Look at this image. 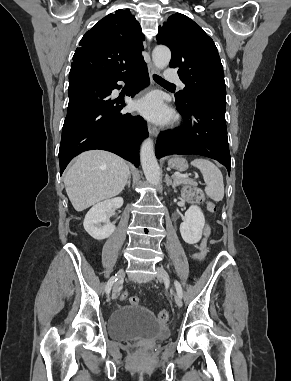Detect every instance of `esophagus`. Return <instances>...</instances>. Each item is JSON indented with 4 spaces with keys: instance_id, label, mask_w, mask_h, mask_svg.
Returning a JSON list of instances; mask_svg holds the SVG:
<instances>
[{
    "instance_id": "obj_1",
    "label": "esophagus",
    "mask_w": 291,
    "mask_h": 381,
    "mask_svg": "<svg viewBox=\"0 0 291 381\" xmlns=\"http://www.w3.org/2000/svg\"><path fill=\"white\" fill-rule=\"evenodd\" d=\"M148 72H149L151 81H153L152 77L154 74L158 73V69L155 67V65L152 62H149L148 64ZM148 131H149V134L154 137H156L159 134L158 128L152 124H148Z\"/></svg>"
}]
</instances>
